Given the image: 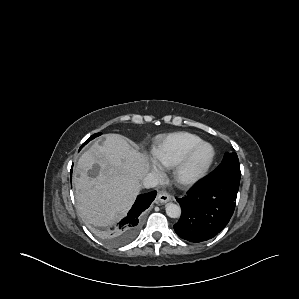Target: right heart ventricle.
Masks as SVG:
<instances>
[{
    "instance_id": "obj_1",
    "label": "right heart ventricle",
    "mask_w": 299,
    "mask_h": 299,
    "mask_svg": "<svg viewBox=\"0 0 299 299\" xmlns=\"http://www.w3.org/2000/svg\"><path fill=\"white\" fill-rule=\"evenodd\" d=\"M200 142H202L200 137L187 132L163 136L158 139L154 148L155 159L163 167H176L187 153Z\"/></svg>"
}]
</instances>
